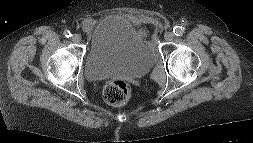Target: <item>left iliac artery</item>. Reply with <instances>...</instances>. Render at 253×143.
<instances>
[{
    "label": "left iliac artery",
    "mask_w": 253,
    "mask_h": 143,
    "mask_svg": "<svg viewBox=\"0 0 253 143\" xmlns=\"http://www.w3.org/2000/svg\"><path fill=\"white\" fill-rule=\"evenodd\" d=\"M184 30H185V27L176 26V27L173 28V33L175 34V36H182Z\"/></svg>",
    "instance_id": "1"
}]
</instances>
